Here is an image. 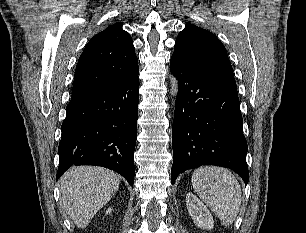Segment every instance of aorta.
Instances as JSON below:
<instances>
[{
	"instance_id": "obj_1",
	"label": "aorta",
	"mask_w": 306,
	"mask_h": 233,
	"mask_svg": "<svg viewBox=\"0 0 306 233\" xmlns=\"http://www.w3.org/2000/svg\"><path fill=\"white\" fill-rule=\"evenodd\" d=\"M170 93H171V95L173 97H176V95L178 93V80L174 76L171 77V89H170Z\"/></svg>"
}]
</instances>
